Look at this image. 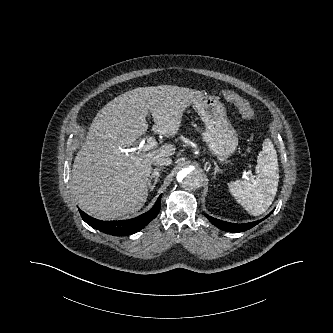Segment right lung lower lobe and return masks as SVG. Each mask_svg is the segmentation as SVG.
<instances>
[{
    "instance_id": "right-lung-lower-lobe-1",
    "label": "right lung lower lobe",
    "mask_w": 333,
    "mask_h": 333,
    "mask_svg": "<svg viewBox=\"0 0 333 333\" xmlns=\"http://www.w3.org/2000/svg\"><path fill=\"white\" fill-rule=\"evenodd\" d=\"M161 207V195L158 197L156 204L154 207L148 212L140 215L139 217L129 219V220H121V221H101L95 219L83 211L79 210L82 219L94 229H97L101 232L108 233L111 235L123 236L130 235L138 232L142 228L145 227L151 220H153Z\"/></svg>"
}]
</instances>
